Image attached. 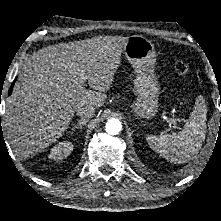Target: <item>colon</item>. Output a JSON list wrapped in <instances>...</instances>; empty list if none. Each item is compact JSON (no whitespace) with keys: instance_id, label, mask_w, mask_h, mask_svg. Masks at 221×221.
I'll list each match as a JSON object with an SVG mask.
<instances>
[{"instance_id":"colon-1","label":"colon","mask_w":221,"mask_h":221,"mask_svg":"<svg viewBox=\"0 0 221 221\" xmlns=\"http://www.w3.org/2000/svg\"><path fill=\"white\" fill-rule=\"evenodd\" d=\"M175 69L179 75L184 78H188L190 73L189 64L184 60H178L175 64Z\"/></svg>"}]
</instances>
